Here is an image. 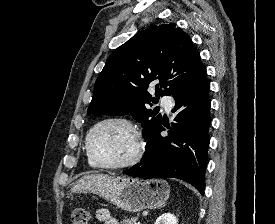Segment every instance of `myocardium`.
Wrapping results in <instances>:
<instances>
[{
	"mask_svg": "<svg viewBox=\"0 0 275 224\" xmlns=\"http://www.w3.org/2000/svg\"><path fill=\"white\" fill-rule=\"evenodd\" d=\"M107 123H121L131 130L135 140V151L128 160L121 163L108 164L102 162L93 152L91 146L92 135L99 127ZM85 148L89 157L98 167L105 169H124L135 165L141 159L144 151V141L138 127L131 120L121 116H110L99 120L90 128L85 139Z\"/></svg>",
	"mask_w": 275,
	"mask_h": 224,
	"instance_id": "1",
	"label": "myocardium"
}]
</instances>
